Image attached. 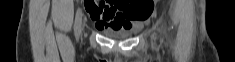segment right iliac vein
<instances>
[{"instance_id":"obj_1","label":"right iliac vein","mask_w":235,"mask_h":62,"mask_svg":"<svg viewBox=\"0 0 235 62\" xmlns=\"http://www.w3.org/2000/svg\"><path fill=\"white\" fill-rule=\"evenodd\" d=\"M83 27H84V24L81 23L80 28H79V31H78V33H77V37H79V36L81 35V33H82V31H83Z\"/></svg>"}]
</instances>
